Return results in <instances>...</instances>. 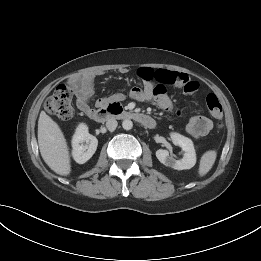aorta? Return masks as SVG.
Wrapping results in <instances>:
<instances>
[{
  "instance_id": "obj_1",
  "label": "aorta",
  "mask_w": 261,
  "mask_h": 261,
  "mask_svg": "<svg viewBox=\"0 0 261 261\" xmlns=\"http://www.w3.org/2000/svg\"><path fill=\"white\" fill-rule=\"evenodd\" d=\"M122 127L123 129L125 130H131L132 127H133V122L129 119H125L123 122H122Z\"/></svg>"
}]
</instances>
